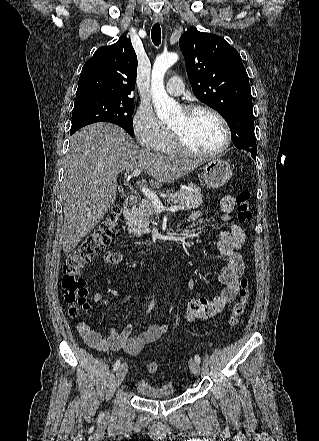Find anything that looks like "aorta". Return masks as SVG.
<instances>
[{"label":"aorta","instance_id":"aorta-1","mask_svg":"<svg viewBox=\"0 0 319 441\" xmlns=\"http://www.w3.org/2000/svg\"><path fill=\"white\" fill-rule=\"evenodd\" d=\"M178 61L177 53L162 54L156 58L151 74V91L156 114L163 121L178 112V103L170 98L164 88L166 71Z\"/></svg>","mask_w":319,"mask_h":441}]
</instances>
